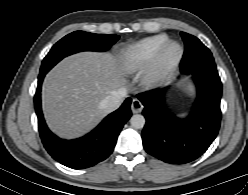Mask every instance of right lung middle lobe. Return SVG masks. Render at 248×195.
<instances>
[{
  "instance_id": "dd1d6c3e",
  "label": "right lung middle lobe",
  "mask_w": 248,
  "mask_h": 195,
  "mask_svg": "<svg viewBox=\"0 0 248 195\" xmlns=\"http://www.w3.org/2000/svg\"><path fill=\"white\" fill-rule=\"evenodd\" d=\"M119 36L75 31L58 41L44 58L40 74L47 73L64 57L80 51H106Z\"/></svg>"
}]
</instances>
